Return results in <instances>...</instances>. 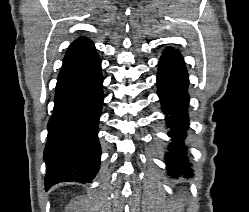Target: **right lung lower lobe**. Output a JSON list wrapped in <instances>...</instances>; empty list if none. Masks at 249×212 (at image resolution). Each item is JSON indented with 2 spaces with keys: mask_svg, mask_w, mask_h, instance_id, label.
<instances>
[{
  "mask_svg": "<svg viewBox=\"0 0 249 212\" xmlns=\"http://www.w3.org/2000/svg\"><path fill=\"white\" fill-rule=\"evenodd\" d=\"M102 88L98 54L60 71L44 152L46 189L59 182L90 183L98 172Z\"/></svg>",
  "mask_w": 249,
  "mask_h": 212,
  "instance_id": "98d812e1",
  "label": "right lung lower lobe"
}]
</instances>
